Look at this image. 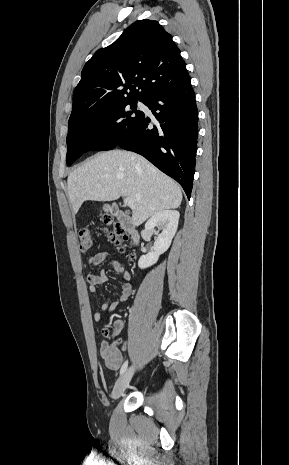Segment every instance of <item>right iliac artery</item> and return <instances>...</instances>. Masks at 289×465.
<instances>
[{"instance_id":"82829eb1","label":"right iliac artery","mask_w":289,"mask_h":465,"mask_svg":"<svg viewBox=\"0 0 289 465\" xmlns=\"http://www.w3.org/2000/svg\"><path fill=\"white\" fill-rule=\"evenodd\" d=\"M127 366H128V360H126V361L124 362V364L122 365V367H121V369H120V375H122V374L126 371Z\"/></svg>"}]
</instances>
